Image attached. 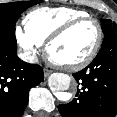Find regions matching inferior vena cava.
Here are the masks:
<instances>
[{
    "label": "inferior vena cava",
    "instance_id": "obj_1",
    "mask_svg": "<svg viewBox=\"0 0 117 117\" xmlns=\"http://www.w3.org/2000/svg\"><path fill=\"white\" fill-rule=\"evenodd\" d=\"M19 57L22 60L29 61V62H37V59H35L33 56H29L26 52H20Z\"/></svg>",
    "mask_w": 117,
    "mask_h": 117
}]
</instances>
